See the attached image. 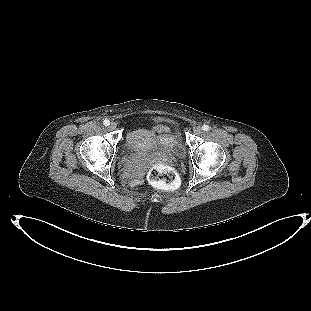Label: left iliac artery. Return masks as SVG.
Wrapping results in <instances>:
<instances>
[{
	"instance_id": "44dca946",
	"label": "left iliac artery",
	"mask_w": 311,
	"mask_h": 311,
	"mask_svg": "<svg viewBox=\"0 0 311 311\" xmlns=\"http://www.w3.org/2000/svg\"><path fill=\"white\" fill-rule=\"evenodd\" d=\"M209 129H210V127H209L208 125H206V124H204V125L202 126V130H203V131H209Z\"/></svg>"
}]
</instances>
